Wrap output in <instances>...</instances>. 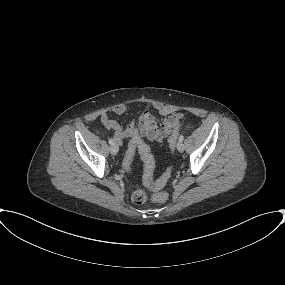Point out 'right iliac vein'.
<instances>
[{
	"mask_svg": "<svg viewBox=\"0 0 285 285\" xmlns=\"http://www.w3.org/2000/svg\"><path fill=\"white\" fill-rule=\"evenodd\" d=\"M118 151H119V147H118L117 144H112V145L110 146V152H111V154L116 155V154L118 153Z\"/></svg>",
	"mask_w": 285,
	"mask_h": 285,
	"instance_id": "63e3f726",
	"label": "right iliac vein"
}]
</instances>
